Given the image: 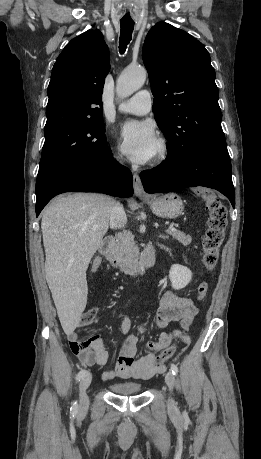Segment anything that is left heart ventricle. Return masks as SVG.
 Listing matches in <instances>:
<instances>
[{
	"mask_svg": "<svg viewBox=\"0 0 261 459\" xmlns=\"http://www.w3.org/2000/svg\"><path fill=\"white\" fill-rule=\"evenodd\" d=\"M156 152H157V145H156V148H155V151H154V155L156 154ZM154 155H153V156H154Z\"/></svg>",
	"mask_w": 261,
	"mask_h": 459,
	"instance_id": "left-heart-ventricle-1",
	"label": "left heart ventricle"
}]
</instances>
